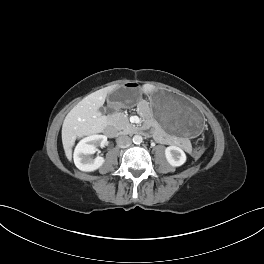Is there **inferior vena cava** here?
<instances>
[{"mask_svg":"<svg viewBox=\"0 0 264 264\" xmlns=\"http://www.w3.org/2000/svg\"><path fill=\"white\" fill-rule=\"evenodd\" d=\"M117 146L120 148H127L131 145V138L129 136L123 135L119 136L116 140Z\"/></svg>","mask_w":264,"mask_h":264,"instance_id":"1","label":"inferior vena cava"}]
</instances>
